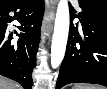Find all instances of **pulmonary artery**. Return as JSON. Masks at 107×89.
<instances>
[{"label": "pulmonary artery", "mask_w": 107, "mask_h": 89, "mask_svg": "<svg viewBox=\"0 0 107 89\" xmlns=\"http://www.w3.org/2000/svg\"><path fill=\"white\" fill-rule=\"evenodd\" d=\"M74 5H75L76 9L79 11V6H78L77 1H74Z\"/></svg>", "instance_id": "1"}]
</instances>
